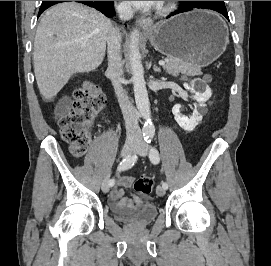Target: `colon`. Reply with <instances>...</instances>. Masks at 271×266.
I'll return each instance as SVG.
<instances>
[{
    "mask_svg": "<svg viewBox=\"0 0 271 266\" xmlns=\"http://www.w3.org/2000/svg\"><path fill=\"white\" fill-rule=\"evenodd\" d=\"M105 102L103 93L91 82H85L76 91L70 110L59 120L62 138L70 145L74 156H82L88 149L90 127ZM154 187L153 179L142 176L134 182V189L142 195H149Z\"/></svg>",
    "mask_w": 271,
    "mask_h": 266,
    "instance_id": "5ec220e1",
    "label": "colon"
}]
</instances>
